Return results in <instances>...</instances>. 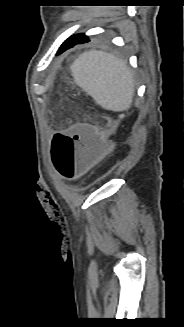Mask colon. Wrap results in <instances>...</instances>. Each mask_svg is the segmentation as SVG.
<instances>
[{"mask_svg": "<svg viewBox=\"0 0 184 327\" xmlns=\"http://www.w3.org/2000/svg\"><path fill=\"white\" fill-rule=\"evenodd\" d=\"M113 150L99 129L79 123L53 138L51 159L62 176L74 180L109 158Z\"/></svg>", "mask_w": 184, "mask_h": 327, "instance_id": "obj_1", "label": "colon"}]
</instances>
